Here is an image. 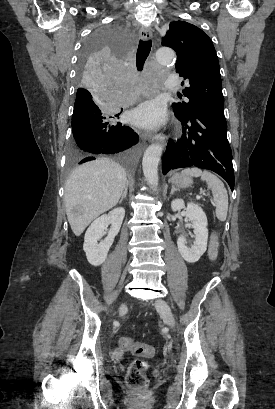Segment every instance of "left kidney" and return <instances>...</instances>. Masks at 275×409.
<instances>
[{"instance_id":"left-kidney-1","label":"left kidney","mask_w":275,"mask_h":409,"mask_svg":"<svg viewBox=\"0 0 275 409\" xmlns=\"http://www.w3.org/2000/svg\"><path fill=\"white\" fill-rule=\"evenodd\" d=\"M171 209L172 211H181V209H186L185 221H191L192 229H194L193 233L195 241L194 245L187 247L184 237H178L177 247L184 261H187V263H196V261H199L200 257L204 255L207 249V217L203 209H201L199 205H194V202H188L187 207H185L184 200H182V198H175V200H172Z\"/></svg>"}]
</instances>
